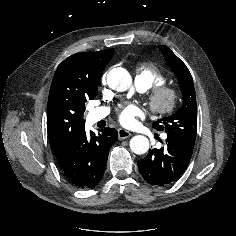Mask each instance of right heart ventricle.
Listing matches in <instances>:
<instances>
[{
  "label": "right heart ventricle",
  "mask_w": 236,
  "mask_h": 236,
  "mask_svg": "<svg viewBox=\"0 0 236 236\" xmlns=\"http://www.w3.org/2000/svg\"><path fill=\"white\" fill-rule=\"evenodd\" d=\"M139 87L145 90L165 82V76L156 64L148 63L138 67L135 77Z\"/></svg>",
  "instance_id": "1"
}]
</instances>
